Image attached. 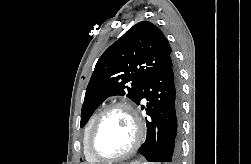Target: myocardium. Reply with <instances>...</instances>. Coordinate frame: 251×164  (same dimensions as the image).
Listing matches in <instances>:
<instances>
[{"label":"myocardium","instance_id":"obj_1","mask_svg":"<svg viewBox=\"0 0 251 164\" xmlns=\"http://www.w3.org/2000/svg\"><path fill=\"white\" fill-rule=\"evenodd\" d=\"M116 109H124L128 112L130 117L132 118V121L135 126V139L131 147L124 153L117 155V156H112V157H103L98 155L93 148V142L95 139V136L97 134V131L104 120V118L113 110ZM144 139V125L142 122V119L137 112V110L134 108V106L128 102L125 101H119L112 103L108 105L106 108H104L97 118L95 119L91 130L89 132L88 140H87V150L89 155L95 159L97 162H114V161H119L126 159L130 157L132 154H134L137 149L140 147L141 143L143 142Z\"/></svg>","mask_w":251,"mask_h":164}]
</instances>
